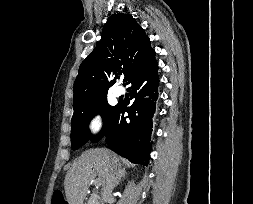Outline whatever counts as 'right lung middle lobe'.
Masks as SVG:
<instances>
[{
    "label": "right lung middle lobe",
    "mask_w": 253,
    "mask_h": 204,
    "mask_svg": "<svg viewBox=\"0 0 253 204\" xmlns=\"http://www.w3.org/2000/svg\"><path fill=\"white\" fill-rule=\"evenodd\" d=\"M116 107L117 105L110 106L107 102V96H104L88 105L74 110L71 131V144L73 149H78V147L85 144V142L91 137L88 125L91 119L97 114L102 115L104 125L101 132L94 137L93 141L97 142L100 140Z\"/></svg>",
    "instance_id": "obj_1"
}]
</instances>
